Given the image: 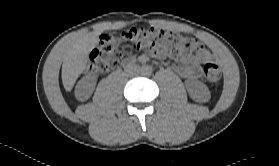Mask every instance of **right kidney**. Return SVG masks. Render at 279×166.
<instances>
[{
	"label": "right kidney",
	"instance_id": "1",
	"mask_svg": "<svg viewBox=\"0 0 279 166\" xmlns=\"http://www.w3.org/2000/svg\"><path fill=\"white\" fill-rule=\"evenodd\" d=\"M95 88V82L92 77H83L77 84L75 94L76 97L84 101L90 97Z\"/></svg>",
	"mask_w": 279,
	"mask_h": 166
}]
</instances>
